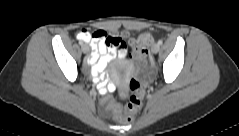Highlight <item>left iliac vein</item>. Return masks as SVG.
<instances>
[{
  "mask_svg": "<svg viewBox=\"0 0 239 136\" xmlns=\"http://www.w3.org/2000/svg\"><path fill=\"white\" fill-rule=\"evenodd\" d=\"M159 50H160V45H159L158 43H155V44L152 46V48H151V51H152L154 54L158 53Z\"/></svg>",
  "mask_w": 239,
  "mask_h": 136,
  "instance_id": "4c4485c4",
  "label": "left iliac vein"
}]
</instances>
